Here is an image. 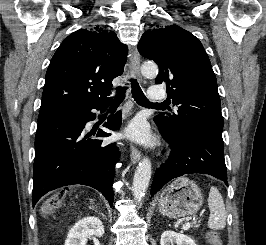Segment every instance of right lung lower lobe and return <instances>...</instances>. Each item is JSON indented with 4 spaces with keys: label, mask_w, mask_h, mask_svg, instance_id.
Segmentation results:
<instances>
[{
    "label": "right lung lower lobe",
    "mask_w": 266,
    "mask_h": 245,
    "mask_svg": "<svg viewBox=\"0 0 266 245\" xmlns=\"http://www.w3.org/2000/svg\"><path fill=\"white\" fill-rule=\"evenodd\" d=\"M108 103L109 98L38 121L33 167V207L47 192L73 184L97 189L106 197L110 206L113 205L114 167L120 152L113 144L90 138L108 137L110 133L95 128L87 133L85 127L87 122L96 118L91 110L103 111ZM103 126L118 130L121 126V112L110 115Z\"/></svg>",
    "instance_id": "right-lung-lower-lobe-1"
}]
</instances>
